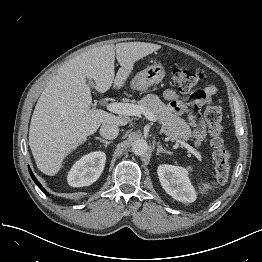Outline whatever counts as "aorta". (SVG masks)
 I'll return each instance as SVG.
<instances>
[{"mask_svg":"<svg viewBox=\"0 0 262 262\" xmlns=\"http://www.w3.org/2000/svg\"><path fill=\"white\" fill-rule=\"evenodd\" d=\"M132 151L137 156H143L148 151V144L145 140H136L132 144Z\"/></svg>","mask_w":262,"mask_h":262,"instance_id":"1","label":"aorta"}]
</instances>
